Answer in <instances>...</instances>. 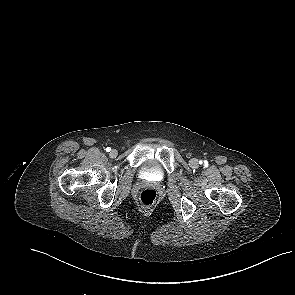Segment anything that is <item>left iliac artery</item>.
I'll return each instance as SVG.
<instances>
[{"mask_svg":"<svg viewBox=\"0 0 295 295\" xmlns=\"http://www.w3.org/2000/svg\"><path fill=\"white\" fill-rule=\"evenodd\" d=\"M201 163H202V162H201ZM204 163H205V165L207 164V162H206V161H205Z\"/></svg>","mask_w":295,"mask_h":295,"instance_id":"44dca946","label":"left iliac artery"}]
</instances>
